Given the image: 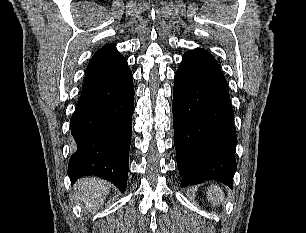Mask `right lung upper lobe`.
<instances>
[{
	"mask_svg": "<svg viewBox=\"0 0 306 233\" xmlns=\"http://www.w3.org/2000/svg\"><path fill=\"white\" fill-rule=\"evenodd\" d=\"M129 67L115 45H105L91 58L86 71L82 91L90 90L116 79Z\"/></svg>",
	"mask_w": 306,
	"mask_h": 233,
	"instance_id": "cb5924a9",
	"label": "right lung upper lobe"
}]
</instances>
